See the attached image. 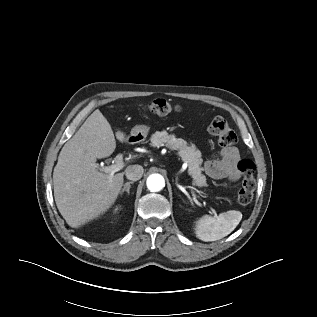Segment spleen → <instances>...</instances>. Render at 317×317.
Here are the masks:
<instances>
[{"mask_svg":"<svg viewBox=\"0 0 317 317\" xmlns=\"http://www.w3.org/2000/svg\"><path fill=\"white\" fill-rule=\"evenodd\" d=\"M241 219L242 213L236 210L220 213L218 217L204 215L196 223L195 234L205 242L220 240L229 235Z\"/></svg>","mask_w":317,"mask_h":317,"instance_id":"3e777b00","label":"spleen"}]
</instances>
